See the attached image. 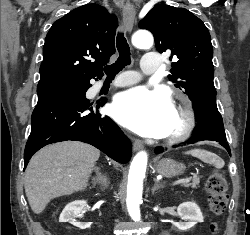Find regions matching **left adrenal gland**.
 Segmentation results:
<instances>
[{"label": "left adrenal gland", "mask_w": 250, "mask_h": 235, "mask_svg": "<svg viewBox=\"0 0 250 235\" xmlns=\"http://www.w3.org/2000/svg\"><path fill=\"white\" fill-rule=\"evenodd\" d=\"M155 184L154 187L152 188V194H154L158 189L162 188L163 185L159 183V181L154 180Z\"/></svg>", "instance_id": "1"}]
</instances>
